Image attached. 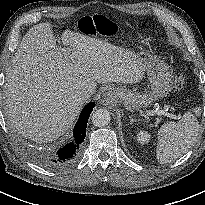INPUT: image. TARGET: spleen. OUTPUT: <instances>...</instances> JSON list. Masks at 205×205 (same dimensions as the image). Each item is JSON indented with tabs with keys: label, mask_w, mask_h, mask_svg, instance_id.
Returning a JSON list of instances; mask_svg holds the SVG:
<instances>
[{
	"label": "spleen",
	"mask_w": 205,
	"mask_h": 205,
	"mask_svg": "<svg viewBox=\"0 0 205 205\" xmlns=\"http://www.w3.org/2000/svg\"><path fill=\"white\" fill-rule=\"evenodd\" d=\"M201 108L185 113L177 122H167L158 131L156 158L159 163L166 164L185 154L195 143L200 125L196 115ZM196 114V115H195Z\"/></svg>",
	"instance_id": "1"
}]
</instances>
